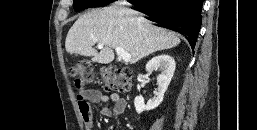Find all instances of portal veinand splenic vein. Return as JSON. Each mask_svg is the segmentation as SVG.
I'll return each instance as SVG.
<instances>
[{"mask_svg":"<svg viewBox=\"0 0 257 130\" xmlns=\"http://www.w3.org/2000/svg\"><path fill=\"white\" fill-rule=\"evenodd\" d=\"M103 47H104L103 44H101V43L98 44V48H99V49H102ZM115 51H116V53H117L119 59L123 60L125 63L130 62L131 56H130V54H129L128 52H126L124 49H122V48H120V47H116V48H115Z\"/></svg>","mask_w":257,"mask_h":130,"instance_id":"18ae733b","label":"portal vein and splenic vein"}]
</instances>
